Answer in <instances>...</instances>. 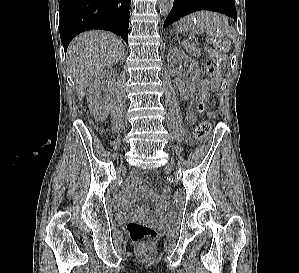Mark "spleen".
Segmentation results:
<instances>
[{
    "instance_id": "obj_1",
    "label": "spleen",
    "mask_w": 299,
    "mask_h": 273,
    "mask_svg": "<svg viewBox=\"0 0 299 273\" xmlns=\"http://www.w3.org/2000/svg\"><path fill=\"white\" fill-rule=\"evenodd\" d=\"M203 26L208 35L207 41L215 50L227 53L231 49L235 37V29L229 26L228 20L217 13L201 11L181 19L177 24V32L187 31L192 24Z\"/></svg>"
}]
</instances>
